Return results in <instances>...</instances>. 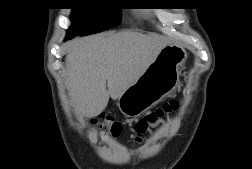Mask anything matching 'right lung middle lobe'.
<instances>
[{"label":"right lung middle lobe","instance_id":"obj_1","mask_svg":"<svg viewBox=\"0 0 252 169\" xmlns=\"http://www.w3.org/2000/svg\"><path fill=\"white\" fill-rule=\"evenodd\" d=\"M71 20L66 39L77 34L88 35L115 26L120 20V8L111 5L113 0H72Z\"/></svg>","mask_w":252,"mask_h":169}]
</instances>
